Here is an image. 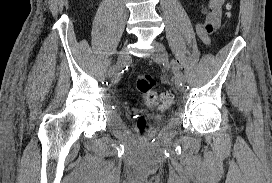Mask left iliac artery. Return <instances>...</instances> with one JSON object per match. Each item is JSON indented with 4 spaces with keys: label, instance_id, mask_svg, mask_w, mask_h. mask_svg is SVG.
<instances>
[{
    "label": "left iliac artery",
    "instance_id": "left-iliac-artery-1",
    "mask_svg": "<svg viewBox=\"0 0 272 183\" xmlns=\"http://www.w3.org/2000/svg\"><path fill=\"white\" fill-rule=\"evenodd\" d=\"M171 65L173 67L177 80L180 82V85L182 86L185 83V76L180 71L179 63L176 60H171Z\"/></svg>",
    "mask_w": 272,
    "mask_h": 183
}]
</instances>
